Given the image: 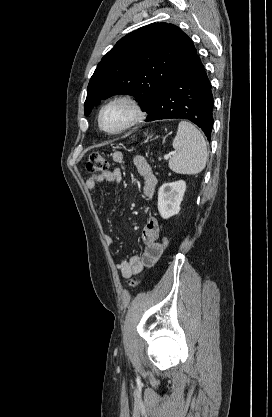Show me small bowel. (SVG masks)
<instances>
[{
    "label": "small bowel",
    "instance_id": "c3829d8e",
    "mask_svg": "<svg viewBox=\"0 0 272 417\" xmlns=\"http://www.w3.org/2000/svg\"><path fill=\"white\" fill-rule=\"evenodd\" d=\"M112 157L116 163H123L125 160L124 154L120 151L114 152ZM132 162L137 174L142 178L144 196L146 198H151L155 193L157 179L153 174L150 165L142 155H135ZM121 180L122 173L120 169L116 168L112 171H106L90 176L86 180V187L93 192L101 183H120ZM159 233L160 224L158 219L156 217H150L142 231V240L146 245L143 254L141 256L132 255L116 265V269L123 278L128 279L137 275L146 267H151L156 263L163 252L159 247ZM104 239L108 246H113L115 243V240L111 235H105Z\"/></svg>",
    "mask_w": 272,
    "mask_h": 417
}]
</instances>
